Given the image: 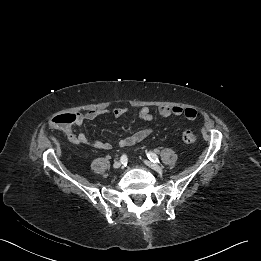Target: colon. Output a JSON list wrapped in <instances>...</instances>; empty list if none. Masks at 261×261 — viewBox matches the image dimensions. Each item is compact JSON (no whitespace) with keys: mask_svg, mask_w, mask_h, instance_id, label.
Wrapping results in <instances>:
<instances>
[{"mask_svg":"<svg viewBox=\"0 0 261 261\" xmlns=\"http://www.w3.org/2000/svg\"><path fill=\"white\" fill-rule=\"evenodd\" d=\"M76 121V117L72 113H60L54 115L50 119V126L53 128H67L72 126ZM197 135L194 131L186 129L182 133V140L186 144H192L196 141Z\"/></svg>","mask_w":261,"mask_h":261,"instance_id":"obj_1","label":"colon"}]
</instances>
